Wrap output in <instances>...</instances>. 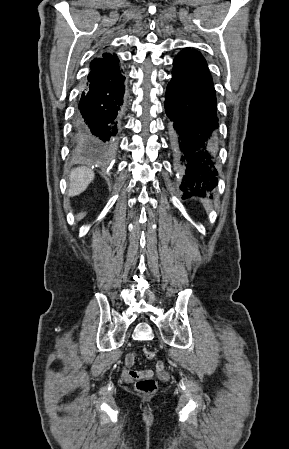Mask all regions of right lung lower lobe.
Segmentation results:
<instances>
[{"mask_svg": "<svg viewBox=\"0 0 289 449\" xmlns=\"http://www.w3.org/2000/svg\"><path fill=\"white\" fill-rule=\"evenodd\" d=\"M123 96L119 64L91 69L80 95L75 127L82 139L100 151H111L115 146Z\"/></svg>", "mask_w": 289, "mask_h": 449, "instance_id": "obj_1", "label": "right lung lower lobe"}]
</instances>
